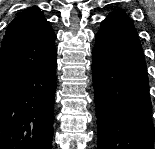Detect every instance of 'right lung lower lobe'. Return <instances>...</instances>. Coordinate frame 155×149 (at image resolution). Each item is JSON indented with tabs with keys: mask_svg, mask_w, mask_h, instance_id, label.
<instances>
[{
	"mask_svg": "<svg viewBox=\"0 0 155 149\" xmlns=\"http://www.w3.org/2000/svg\"><path fill=\"white\" fill-rule=\"evenodd\" d=\"M56 55L0 78V149H51Z\"/></svg>",
	"mask_w": 155,
	"mask_h": 149,
	"instance_id": "obj_1",
	"label": "right lung lower lobe"
}]
</instances>
